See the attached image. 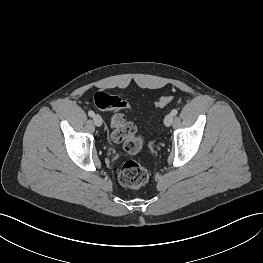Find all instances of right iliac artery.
<instances>
[{
	"label": "right iliac artery",
	"instance_id": "1",
	"mask_svg": "<svg viewBox=\"0 0 263 263\" xmlns=\"http://www.w3.org/2000/svg\"><path fill=\"white\" fill-rule=\"evenodd\" d=\"M88 115H89L90 117H93V116L95 115V113H94L93 111H89V112H88Z\"/></svg>",
	"mask_w": 263,
	"mask_h": 263
}]
</instances>
